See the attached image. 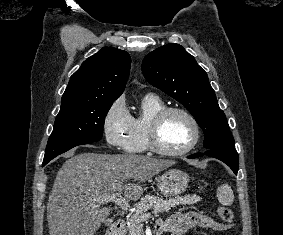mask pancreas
<instances>
[{"label": "pancreas", "instance_id": "cf45deb5", "mask_svg": "<svg viewBox=\"0 0 283 235\" xmlns=\"http://www.w3.org/2000/svg\"><path fill=\"white\" fill-rule=\"evenodd\" d=\"M199 200L200 198L196 195H185L183 197H175L170 199H163L160 196L145 195L136 205V213L127 218L128 235H144L140 218L150 209H153L154 214L157 215L159 213L169 212L171 208H174L179 204L193 205Z\"/></svg>", "mask_w": 283, "mask_h": 235}]
</instances>
